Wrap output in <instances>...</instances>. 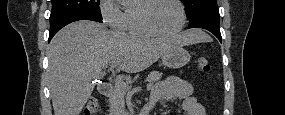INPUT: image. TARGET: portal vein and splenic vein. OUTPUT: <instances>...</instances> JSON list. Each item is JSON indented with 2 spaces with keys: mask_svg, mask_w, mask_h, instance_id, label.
Instances as JSON below:
<instances>
[{
  "mask_svg": "<svg viewBox=\"0 0 285 115\" xmlns=\"http://www.w3.org/2000/svg\"><path fill=\"white\" fill-rule=\"evenodd\" d=\"M119 65H120V62H117V63L111 65V66H110V70H113L115 67H117V66H119ZM116 82H117L118 84H124V83H125V82H123V81L120 80V79H117ZM150 87H151V85L148 84V85H147V89H149Z\"/></svg>",
  "mask_w": 285,
  "mask_h": 115,
  "instance_id": "obj_1",
  "label": "portal vein and splenic vein"
}]
</instances>
